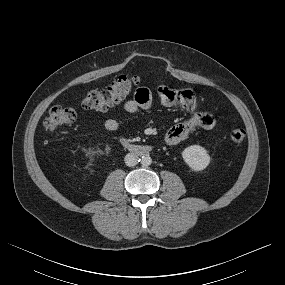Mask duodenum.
I'll return each mask as SVG.
<instances>
[{
  "instance_id": "1",
  "label": "duodenum",
  "mask_w": 285,
  "mask_h": 285,
  "mask_svg": "<svg viewBox=\"0 0 285 285\" xmlns=\"http://www.w3.org/2000/svg\"><path fill=\"white\" fill-rule=\"evenodd\" d=\"M120 141L125 148L137 155H145L152 150L151 146L135 144L124 138H122Z\"/></svg>"
}]
</instances>
